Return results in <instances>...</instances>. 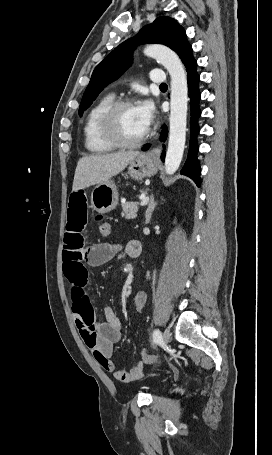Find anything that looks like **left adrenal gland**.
Listing matches in <instances>:
<instances>
[{
  "instance_id": "left-adrenal-gland-1",
  "label": "left adrenal gland",
  "mask_w": 272,
  "mask_h": 455,
  "mask_svg": "<svg viewBox=\"0 0 272 455\" xmlns=\"http://www.w3.org/2000/svg\"><path fill=\"white\" fill-rule=\"evenodd\" d=\"M157 205V202L154 201L153 195L150 197L148 208L146 210V222L145 224H148L150 222L152 213Z\"/></svg>"
}]
</instances>
